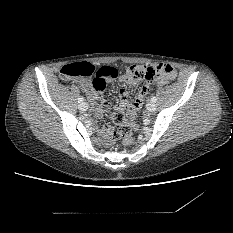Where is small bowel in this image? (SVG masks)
I'll list each match as a JSON object with an SVG mask.
<instances>
[{
	"mask_svg": "<svg viewBox=\"0 0 233 233\" xmlns=\"http://www.w3.org/2000/svg\"><path fill=\"white\" fill-rule=\"evenodd\" d=\"M104 68H109L110 71L105 72L103 74V77H102V80L100 83H98V84L94 83V86H95L94 92H92L90 89L89 79L80 78V77L76 79V82L79 84V86L82 88V90L84 92H86L88 96L97 100L95 111L100 113V114H108L113 109H120L122 107H127L128 105H131L135 110H137L141 106L145 95L148 93V91L150 89V84L146 83L141 87L139 93L137 94V96L135 97V99L132 103H130L128 101V92H127L126 88H124V87L121 88L119 90V102L116 104H112L105 97L104 89H105L107 83L116 77L118 70L115 67H104ZM168 80H169L168 76L162 75L156 79L155 84L157 86H164L167 84ZM120 81L122 82V84L128 85V86H134V85L138 84V82H139L138 79L132 78L128 75H122ZM102 139H103V141L107 142L108 136L102 135Z\"/></svg>",
	"mask_w": 233,
	"mask_h": 233,
	"instance_id": "small-bowel-1",
	"label": "small bowel"
}]
</instances>
